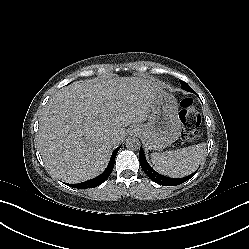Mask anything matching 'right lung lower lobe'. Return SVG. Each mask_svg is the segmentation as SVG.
I'll list each match as a JSON object with an SVG mask.
<instances>
[{
    "instance_id": "right-lung-lower-lobe-1",
    "label": "right lung lower lobe",
    "mask_w": 249,
    "mask_h": 249,
    "mask_svg": "<svg viewBox=\"0 0 249 249\" xmlns=\"http://www.w3.org/2000/svg\"><path fill=\"white\" fill-rule=\"evenodd\" d=\"M119 149H120V147H118L114 151L107 168L105 169V171L101 175H99L98 177H96L94 179L88 180V181L80 183V184L72 185V186L74 188H78V189H85V188H94V187L102 184L110 176V174L113 170L115 157H116V154H117Z\"/></svg>"
}]
</instances>
